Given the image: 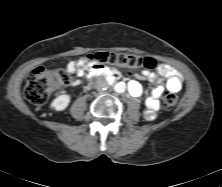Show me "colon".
<instances>
[{"mask_svg":"<svg viewBox=\"0 0 222 187\" xmlns=\"http://www.w3.org/2000/svg\"><path fill=\"white\" fill-rule=\"evenodd\" d=\"M84 60L92 71L104 69L107 65H117L130 70L153 69L156 66V62L152 58L114 52H98L84 57ZM70 82L71 77L68 70H52L38 66L27 78L24 95L30 103L40 105L46 102L51 93L68 86ZM177 102L178 96L175 93H167L163 97V106L166 109H172Z\"/></svg>","mask_w":222,"mask_h":187,"instance_id":"obj_1","label":"colon"}]
</instances>
